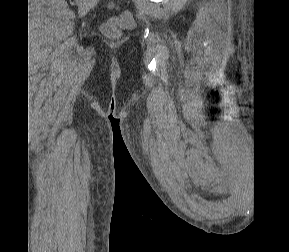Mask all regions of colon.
Wrapping results in <instances>:
<instances>
[{"label":"colon","instance_id":"5ec220e1","mask_svg":"<svg viewBox=\"0 0 289 252\" xmlns=\"http://www.w3.org/2000/svg\"><path fill=\"white\" fill-rule=\"evenodd\" d=\"M133 25V16L129 11H125L120 17L111 18L104 26L103 31L106 35L116 37L121 28H128Z\"/></svg>","mask_w":289,"mask_h":252}]
</instances>
